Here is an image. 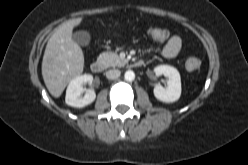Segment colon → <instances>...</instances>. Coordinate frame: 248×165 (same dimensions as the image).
Here are the masks:
<instances>
[{
	"mask_svg": "<svg viewBox=\"0 0 248 165\" xmlns=\"http://www.w3.org/2000/svg\"><path fill=\"white\" fill-rule=\"evenodd\" d=\"M149 36L157 41H163L170 37V32L165 29L151 28L148 31ZM200 60L194 56L188 57L185 66L188 70H196L200 67Z\"/></svg>",
	"mask_w": 248,
	"mask_h": 165,
	"instance_id": "obj_1",
	"label": "colon"
}]
</instances>
